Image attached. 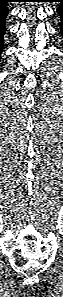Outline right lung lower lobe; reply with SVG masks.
Returning <instances> with one entry per match:
<instances>
[{"label":"right lung lower lobe","mask_w":63,"mask_h":297,"mask_svg":"<svg viewBox=\"0 0 63 297\" xmlns=\"http://www.w3.org/2000/svg\"><path fill=\"white\" fill-rule=\"evenodd\" d=\"M8 2L10 0H0V56L4 46V34L6 31L5 20L8 15Z\"/></svg>","instance_id":"1"}]
</instances>
